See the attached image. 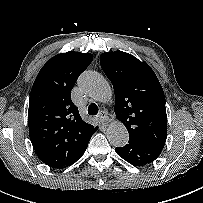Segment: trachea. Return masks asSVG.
<instances>
[{"mask_svg":"<svg viewBox=\"0 0 203 203\" xmlns=\"http://www.w3.org/2000/svg\"><path fill=\"white\" fill-rule=\"evenodd\" d=\"M98 106L95 103H92L88 107V114L89 115H96L98 113Z\"/></svg>","mask_w":203,"mask_h":203,"instance_id":"3493384b","label":"trachea"}]
</instances>
